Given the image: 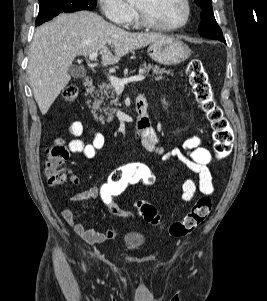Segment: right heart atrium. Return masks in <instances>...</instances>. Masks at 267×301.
I'll return each mask as SVG.
<instances>
[{
	"instance_id": "d8ad5b80",
	"label": "right heart atrium",
	"mask_w": 267,
	"mask_h": 301,
	"mask_svg": "<svg viewBox=\"0 0 267 301\" xmlns=\"http://www.w3.org/2000/svg\"><path fill=\"white\" fill-rule=\"evenodd\" d=\"M106 18L120 27H128L135 17L134 9L125 0H99Z\"/></svg>"
}]
</instances>
